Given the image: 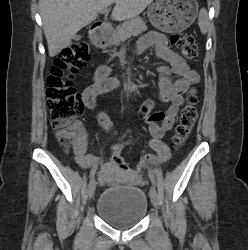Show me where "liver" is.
<instances>
[{
    "label": "liver",
    "instance_id": "6515ba94",
    "mask_svg": "<svg viewBox=\"0 0 248 250\" xmlns=\"http://www.w3.org/2000/svg\"><path fill=\"white\" fill-rule=\"evenodd\" d=\"M153 0H40L43 31L50 57L71 44L76 33L91 24L98 12L115 4L112 19L137 17Z\"/></svg>",
    "mask_w": 248,
    "mask_h": 250
}]
</instances>
